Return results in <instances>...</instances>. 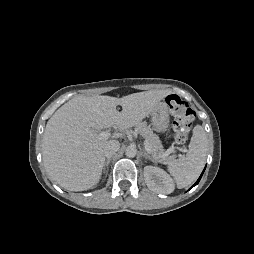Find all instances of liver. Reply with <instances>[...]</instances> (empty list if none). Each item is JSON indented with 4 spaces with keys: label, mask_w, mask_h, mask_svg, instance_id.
Masks as SVG:
<instances>
[{
    "label": "liver",
    "mask_w": 254,
    "mask_h": 254,
    "mask_svg": "<svg viewBox=\"0 0 254 254\" xmlns=\"http://www.w3.org/2000/svg\"><path fill=\"white\" fill-rule=\"evenodd\" d=\"M170 94L169 90H150L122 98L81 95L69 100L46 124L43 162L49 176L70 191L95 186L105 163L104 148L111 141L100 139L99 131L117 127L123 132L136 126ZM122 137L121 133L113 136Z\"/></svg>",
    "instance_id": "liver-1"
}]
</instances>
